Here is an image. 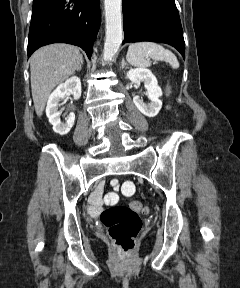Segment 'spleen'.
<instances>
[{
  "instance_id": "spleen-1",
  "label": "spleen",
  "mask_w": 240,
  "mask_h": 288,
  "mask_svg": "<svg viewBox=\"0 0 240 288\" xmlns=\"http://www.w3.org/2000/svg\"><path fill=\"white\" fill-rule=\"evenodd\" d=\"M150 58L163 60L178 68L179 63L176 56L168 49L154 42H138L129 46L126 55L127 61L135 67L150 66Z\"/></svg>"
}]
</instances>
